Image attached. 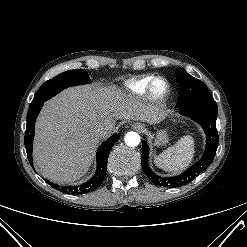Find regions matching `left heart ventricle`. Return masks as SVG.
Here are the masks:
<instances>
[{
	"mask_svg": "<svg viewBox=\"0 0 247 247\" xmlns=\"http://www.w3.org/2000/svg\"><path fill=\"white\" fill-rule=\"evenodd\" d=\"M156 88H157V90H162L163 89V84L162 83H158L156 85Z\"/></svg>",
	"mask_w": 247,
	"mask_h": 247,
	"instance_id": "left-heart-ventricle-1",
	"label": "left heart ventricle"
}]
</instances>
